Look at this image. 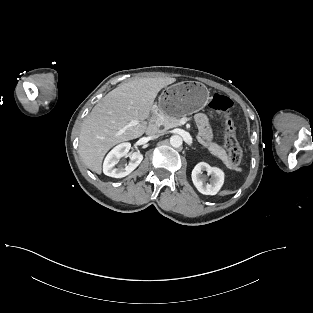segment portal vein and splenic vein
<instances>
[{
	"label": "portal vein and splenic vein",
	"mask_w": 313,
	"mask_h": 313,
	"mask_svg": "<svg viewBox=\"0 0 313 313\" xmlns=\"http://www.w3.org/2000/svg\"><path fill=\"white\" fill-rule=\"evenodd\" d=\"M138 123H139V121L133 120V121L130 122L129 126H134V125H137ZM122 132H123V130H121V131L119 132V134H121Z\"/></svg>",
	"instance_id": "1"
}]
</instances>
